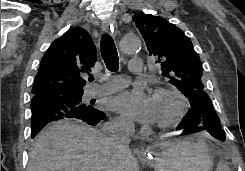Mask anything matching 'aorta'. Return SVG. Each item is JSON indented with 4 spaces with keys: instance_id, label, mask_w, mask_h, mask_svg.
Returning a JSON list of instances; mask_svg holds the SVG:
<instances>
[{
    "instance_id": "1",
    "label": "aorta",
    "mask_w": 245,
    "mask_h": 171,
    "mask_svg": "<svg viewBox=\"0 0 245 171\" xmlns=\"http://www.w3.org/2000/svg\"><path fill=\"white\" fill-rule=\"evenodd\" d=\"M120 50L124 54H134L141 49V40L137 36H125L120 41Z\"/></svg>"
}]
</instances>
